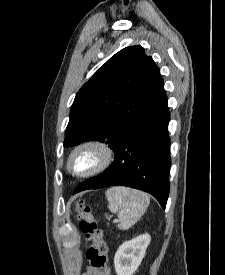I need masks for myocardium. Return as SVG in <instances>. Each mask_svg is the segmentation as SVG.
<instances>
[{
  "label": "myocardium",
  "mask_w": 225,
  "mask_h": 275,
  "mask_svg": "<svg viewBox=\"0 0 225 275\" xmlns=\"http://www.w3.org/2000/svg\"><path fill=\"white\" fill-rule=\"evenodd\" d=\"M82 154H92L95 157V161L83 170H76L73 163ZM112 162L113 151L108 145L98 141H86L72 150L67 160V169L76 177H89L103 172Z\"/></svg>",
  "instance_id": "1"
}]
</instances>
